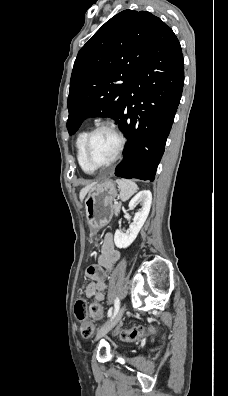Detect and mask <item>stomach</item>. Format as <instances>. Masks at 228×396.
Listing matches in <instances>:
<instances>
[{
  "label": "stomach",
  "instance_id": "0dacf381",
  "mask_svg": "<svg viewBox=\"0 0 228 396\" xmlns=\"http://www.w3.org/2000/svg\"><path fill=\"white\" fill-rule=\"evenodd\" d=\"M116 196L117 191L112 181L92 184L88 188L85 209L92 231H98L110 221L113 214L112 202Z\"/></svg>",
  "mask_w": 228,
  "mask_h": 396
}]
</instances>
